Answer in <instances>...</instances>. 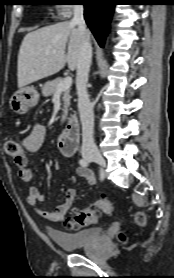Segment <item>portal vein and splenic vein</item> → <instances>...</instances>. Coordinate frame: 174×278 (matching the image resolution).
Segmentation results:
<instances>
[{
  "label": "portal vein and splenic vein",
  "mask_w": 174,
  "mask_h": 278,
  "mask_svg": "<svg viewBox=\"0 0 174 278\" xmlns=\"http://www.w3.org/2000/svg\"><path fill=\"white\" fill-rule=\"evenodd\" d=\"M71 85H72V78L66 77L58 84L56 92H62L66 89H69Z\"/></svg>",
  "instance_id": "18ae733b"
}]
</instances>
